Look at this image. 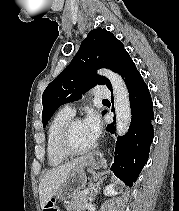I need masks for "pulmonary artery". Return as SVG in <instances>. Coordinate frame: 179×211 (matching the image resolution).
I'll return each instance as SVG.
<instances>
[{"label": "pulmonary artery", "instance_id": "1", "mask_svg": "<svg viewBox=\"0 0 179 211\" xmlns=\"http://www.w3.org/2000/svg\"><path fill=\"white\" fill-rule=\"evenodd\" d=\"M93 96L95 98L98 99H108L111 97V92L110 90L103 85H98L96 86L93 91ZM63 110H65L66 112L70 113V114H74L75 113V108L73 107L72 104H67L63 107Z\"/></svg>", "mask_w": 179, "mask_h": 211}]
</instances>
